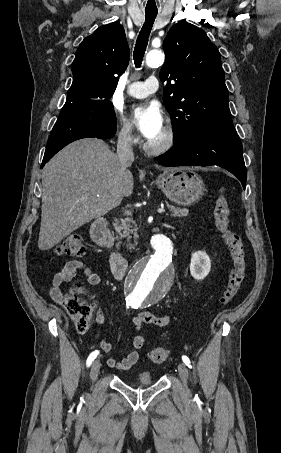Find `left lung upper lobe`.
<instances>
[{"label": "left lung upper lobe", "mask_w": 281, "mask_h": 453, "mask_svg": "<svg viewBox=\"0 0 281 453\" xmlns=\"http://www.w3.org/2000/svg\"><path fill=\"white\" fill-rule=\"evenodd\" d=\"M163 49L166 61L160 79L167 81L163 101L171 115L174 144L233 126L220 53L206 33L178 22L170 28Z\"/></svg>", "instance_id": "left-lung-upper-lobe-1"}]
</instances>
